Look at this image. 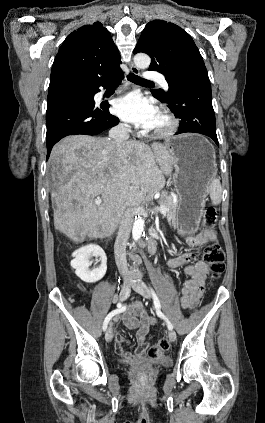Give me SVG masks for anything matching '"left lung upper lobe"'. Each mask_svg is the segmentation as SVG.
I'll return each instance as SVG.
<instances>
[{
	"label": "left lung upper lobe",
	"mask_w": 265,
	"mask_h": 423,
	"mask_svg": "<svg viewBox=\"0 0 265 423\" xmlns=\"http://www.w3.org/2000/svg\"><path fill=\"white\" fill-rule=\"evenodd\" d=\"M138 52L148 54L151 57L149 70L159 71L166 79L192 64L204 63L191 36L163 20H153L146 25L134 49V53ZM152 93L161 100H170L169 91L160 89Z\"/></svg>",
	"instance_id": "1"
}]
</instances>
